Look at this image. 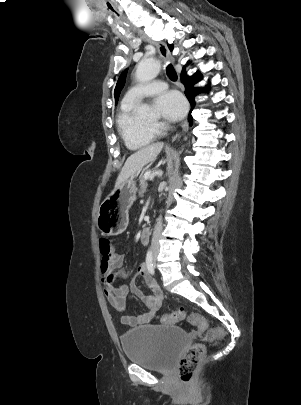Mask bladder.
<instances>
[{
  "label": "bladder",
  "instance_id": "31cf9c89",
  "mask_svg": "<svg viewBox=\"0 0 301 405\" xmlns=\"http://www.w3.org/2000/svg\"><path fill=\"white\" fill-rule=\"evenodd\" d=\"M121 344L131 363L166 373L187 346L188 335L175 326L145 325L126 331L121 337Z\"/></svg>",
  "mask_w": 301,
  "mask_h": 405
}]
</instances>
